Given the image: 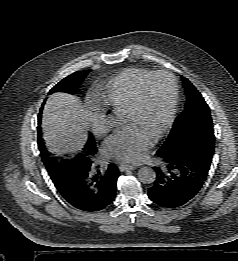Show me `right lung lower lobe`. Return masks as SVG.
<instances>
[{
	"mask_svg": "<svg viewBox=\"0 0 238 261\" xmlns=\"http://www.w3.org/2000/svg\"><path fill=\"white\" fill-rule=\"evenodd\" d=\"M39 120L41 122V112L38 123ZM85 158L87 161L72 165L65 179L53 183L70 205L85 212H96L114 201L120 172L114 164H109L106 170L101 171L93 158Z\"/></svg>",
	"mask_w": 238,
	"mask_h": 261,
	"instance_id": "1",
	"label": "right lung lower lobe"
}]
</instances>
